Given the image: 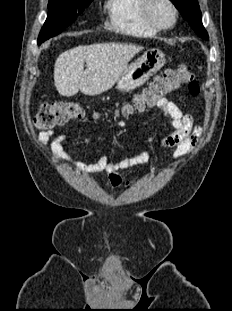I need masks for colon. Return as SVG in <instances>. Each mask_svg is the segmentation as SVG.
I'll list each match as a JSON object with an SVG mask.
<instances>
[{
    "instance_id": "obj_1",
    "label": "colon",
    "mask_w": 232,
    "mask_h": 311,
    "mask_svg": "<svg viewBox=\"0 0 232 311\" xmlns=\"http://www.w3.org/2000/svg\"><path fill=\"white\" fill-rule=\"evenodd\" d=\"M186 86L190 95L196 96L199 86L192 68L181 65L177 68L165 69L155 77L154 81L142 91L135 93L132 98L123 105L121 113L129 116L139 113L147 108L155 106L168 94ZM83 110L76 102L57 101L44 104L33 119L37 129L45 130L60 126L70 120L80 118Z\"/></svg>"
}]
</instances>
